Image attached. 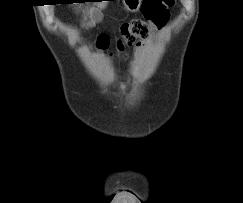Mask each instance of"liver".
<instances>
[{
	"label": "liver",
	"mask_w": 243,
	"mask_h": 203,
	"mask_svg": "<svg viewBox=\"0 0 243 203\" xmlns=\"http://www.w3.org/2000/svg\"><path fill=\"white\" fill-rule=\"evenodd\" d=\"M106 5H107V4H106L105 1H103V2H99V3L97 4L98 8H100V9L104 8Z\"/></svg>",
	"instance_id": "6515ba94"
}]
</instances>
